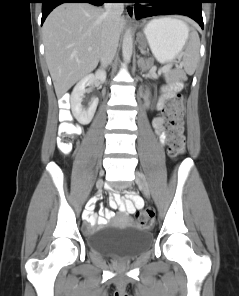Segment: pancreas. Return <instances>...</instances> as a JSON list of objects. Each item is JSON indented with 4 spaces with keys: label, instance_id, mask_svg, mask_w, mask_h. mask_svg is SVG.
<instances>
[{
    "label": "pancreas",
    "instance_id": "obj_1",
    "mask_svg": "<svg viewBox=\"0 0 239 296\" xmlns=\"http://www.w3.org/2000/svg\"><path fill=\"white\" fill-rule=\"evenodd\" d=\"M165 73H166V77L169 78L170 77V71H169V69L166 70Z\"/></svg>",
    "mask_w": 239,
    "mask_h": 296
}]
</instances>
